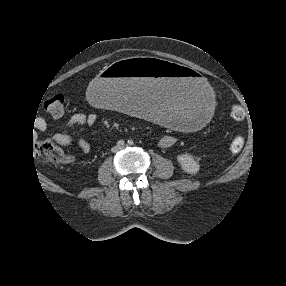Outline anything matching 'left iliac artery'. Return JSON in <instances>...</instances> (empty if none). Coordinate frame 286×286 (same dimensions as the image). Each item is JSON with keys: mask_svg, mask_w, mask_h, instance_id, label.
<instances>
[{"mask_svg": "<svg viewBox=\"0 0 286 286\" xmlns=\"http://www.w3.org/2000/svg\"><path fill=\"white\" fill-rule=\"evenodd\" d=\"M134 144L133 140H128V145L132 146Z\"/></svg>", "mask_w": 286, "mask_h": 286, "instance_id": "44dca946", "label": "left iliac artery"}]
</instances>
